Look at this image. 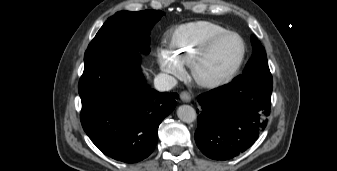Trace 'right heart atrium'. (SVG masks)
Listing matches in <instances>:
<instances>
[{
    "mask_svg": "<svg viewBox=\"0 0 337 171\" xmlns=\"http://www.w3.org/2000/svg\"><path fill=\"white\" fill-rule=\"evenodd\" d=\"M158 61L161 69L167 74L180 78L184 73L182 64L176 61L167 50H160L158 52Z\"/></svg>",
    "mask_w": 337,
    "mask_h": 171,
    "instance_id": "1",
    "label": "right heart atrium"
}]
</instances>
